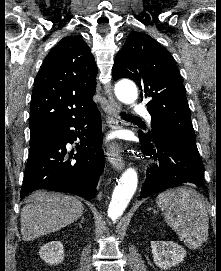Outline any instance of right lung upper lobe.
Segmentation results:
<instances>
[{
	"mask_svg": "<svg viewBox=\"0 0 221 271\" xmlns=\"http://www.w3.org/2000/svg\"><path fill=\"white\" fill-rule=\"evenodd\" d=\"M97 67L82 38H63L46 56L35 78L30 131L56 128L96 108Z\"/></svg>",
	"mask_w": 221,
	"mask_h": 271,
	"instance_id": "right-lung-upper-lobe-1",
	"label": "right lung upper lobe"
}]
</instances>
